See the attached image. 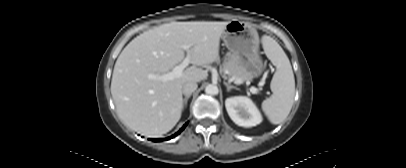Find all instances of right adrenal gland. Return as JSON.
I'll use <instances>...</instances> for the list:
<instances>
[{"mask_svg": "<svg viewBox=\"0 0 406 168\" xmlns=\"http://www.w3.org/2000/svg\"><path fill=\"white\" fill-rule=\"evenodd\" d=\"M191 97V95H187V96H185V98L183 99V107H186L187 106V101H188V99Z\"/></svg>", "mask_w": 406, "mask_h": 168, "instance_id": "1", "label": "right adrenal gland"}]
</instances>
